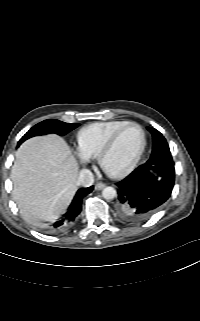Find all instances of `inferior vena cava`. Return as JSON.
<instances>
[{
  "label": "inferior vena cava",
  "instance_id": "inferior-vena-cava-1",
  "mask_svg": "<svg viewBox=\"0 0 200 321\" xmlns=\"http://www.w3.org/2000/svg\"><path fill=\"white\" fill-rule=\"evenodd\" d=\"M94 183L93 173L88 169H82L76 180V184L83 187H89Z\"/></svg>",
  "mask_w": 200,
  "mask_h": 321
}]
</instances>
